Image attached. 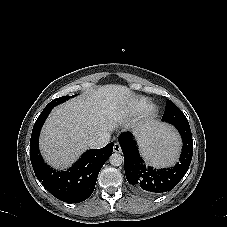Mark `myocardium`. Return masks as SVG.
<instances>
[{
    "label": "myocardium",
    "mask_w": 227,
    "mask_h": 227,
    "mask_svg": "<svg viewBox=\"0 0 227 227\" xmlns=\"http://www.w3.org/2000/svg\"><path fill=\"white\" fill-rule=\"evenodd\" d=\"M157 112V109L155 106H150L148 109H147V114L149 116H154Z\"/></svg>",
    "instance_id": "myocardium-1"
}]
</instances>
